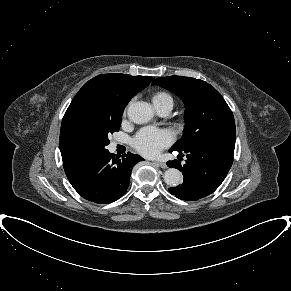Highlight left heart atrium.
I'll return each instance as SVG.
<instances>
[{
    "instance_id": "left-heart-atrium-1",
    "label": "left heart atrium",
    "mask_w": 291,
    "mask_h": 291,
    "mask_svg": "<svg viewBox=\"0 0 291 291\" xmlns=\"http://www.w3.org/2000/svg\"><path fill=\"white\" fill-rule=\"evenodd\" d=\"M172 141V134L168 130L145 127L132 138L131 144L141 154L153 157Z\"/></svg>"
}]
</instances>
